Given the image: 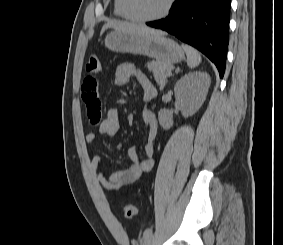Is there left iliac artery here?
Wrapping results in <instances>:
<instances>
[{
	"label": "left iliac artery",
	"mask_w": 283,
	"mask_h": 245,
	"mask_svg": "<svg viewBox=\"0 0 283 245\" xmlns=\"http://www.w3.org/2000/svg\"><path fill=\"white\" fill-rule=\"evenodd\" d=\"M152 232H153L152 228H147L143 233V238L145 239L149 237L152 234Z\"/></svg>",
	"instance_id": "44dca946"
}]
</instances>
